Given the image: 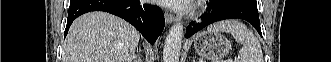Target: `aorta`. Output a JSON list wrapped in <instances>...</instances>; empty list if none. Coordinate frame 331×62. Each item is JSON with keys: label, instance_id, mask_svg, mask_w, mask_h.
<instances>
[{"label": "aorta", "instance_id": "obj_1", "mask_svg": "<svg viewBox=\"0 0 331 62\" xmlns=\"http://www.w3.org/2000/svg\"><path fill=\"white\" fill-rule=\"evenodd\" d=\"M183 25H173L164 42L163 62H179L180 50L183 42Z\"/></svg>", "mask_w": 331, "mask_h": 62}]
</instances>
